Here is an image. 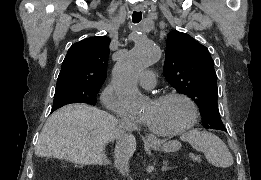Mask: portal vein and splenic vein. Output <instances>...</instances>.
Here are the masks:
<instances>
[{
    "label": "portal vein and splenic vein",
    "instance_id": "18ae733b",
    "mask_svg": "<svg viewBox=\"0 0 261 180\" xmlns=\"http://www.w3.org/2000/svg\"><path fill=\"white\" fill-rule=\"evenodd\" d=\"M201 159H202L201 155H197L196 153L189 154V161H198Z\"/></svg>",
    "mask_w": 261,
    "mask_h": 180
}]
</instances>
